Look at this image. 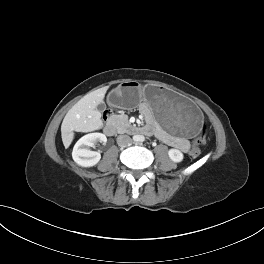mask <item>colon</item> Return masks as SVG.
Returning <instances> with one entry per match:
<instances>
[{"label":"colon","instance_id":"1","mask_svg":"<svg viewBox=\"0 0 264 264\" xmlns=\"http://www.w3.org/2000/svg\"><path fill=\"white\" fill-rule=\"evenodd\" d=\"M205 134L206 128L204 126L201 133L193 140L192 149L190 152L192 156H198L202 152V149L205 146Z\"/></svg>","mask_w":264,"mask_h":264}]
</instances>
